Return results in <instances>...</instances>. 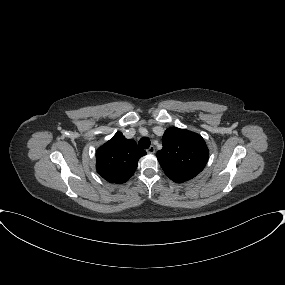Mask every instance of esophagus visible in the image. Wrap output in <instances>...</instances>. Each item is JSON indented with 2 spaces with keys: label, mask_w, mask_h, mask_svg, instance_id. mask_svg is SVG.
I'll use <instances>...</instances> for the list:
<instances>
[{
  "label": "esophagus",
  "mask_w": 285,
  "mask_h": 285,
  "mask_svg": "<svg viewBox=\"0 0 285 285\" xmlns=\"http://www.w3.org/2000/svg\"><path fill=\"white\" fill-rule=\"evenodd\" d=\"M147 153H149V154L155 153V148H154V146H150V147L147 149Z\"/></svg>",
  "instance_id": "1"
}]
</instances>
